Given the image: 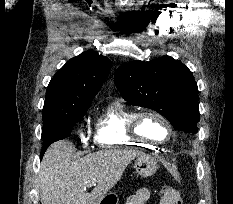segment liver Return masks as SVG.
<instances>
[{
	"instance_id": "6515ba94",
	"label": "liver",
	"mask_w": 233,
	"mask_h": 204,
	"mask_svg": "<svg viewBox=\"0 0 233 204\" xmlns=\"http://www.w3.org/2000/svg\"><path fill=\"white\" fill-rule=\"evenodd\" d=\"M69 140L54 142L45 152L39 171L41 204H99L121 179L128 164L144 153L109 149L72 159ZM97 185L89 193V183Z\"/></svg>"
}]
</instances>
